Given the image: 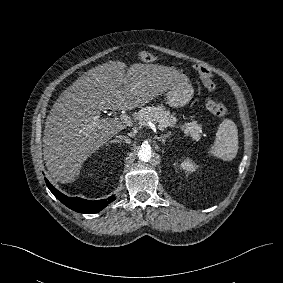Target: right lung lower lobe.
<instances>
[{"label":"right lung lower lobe","instance_id":"98d812e1","mask_svg":"<svg viewBox=\"0 0 283 283\" xmlns=\"http://www.w3.org/2000/svg\"><path fill=\"white\" fill-rule=\"evenodd\" d=\"M46 184L54 196L60 200L64 205L70 209L79 212V213H97L104 209L110 202L115 200L114 195L110 196L107 199H102L98 201H88L78 197H67L56 188L45 178Z\"/></svg>","mask_w":283,"mask_h":283}]
</instances>
